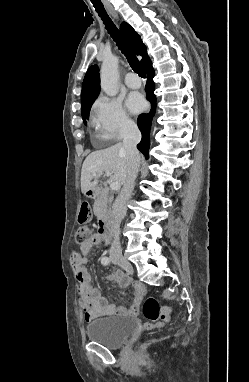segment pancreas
I'll use <instances>...</instances> for the list:
<instances>
[{"mask_svg":"<svg viewBox=\"0 0 249 382\" xmlns=\"http://www.w3.org/2000/svg\"><path fill=\"white\" fill-rule=\"evenodd\" d=\"M112 200L108 188L99 189L93 205L94 214L100 219L103 218L108 213Z\"/></svg>","mask_w":249,"mask_h":382,"instance_id":"obj_1","label":"pancreas"}]
</instances>
